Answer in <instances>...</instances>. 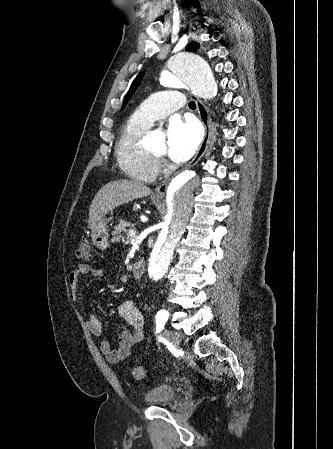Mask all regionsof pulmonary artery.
<instances>
[{"mask_svg":"<svg viewBox=\"0 0 333 449\" xmlns=\"http://www.w3.org/2000/svg\"><path fill=\"white\" fill-rule=\"evenodd\" d=\"M185 105L184 96L175 90H165L154 93L136 110L134 118L150 127L153 122L166 114Z\"/></svg>","mask_w":333,"mask_h":449,"instance_id":"1","label":"pulmonary artery"}]
</instances>
